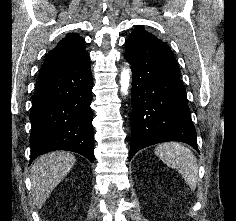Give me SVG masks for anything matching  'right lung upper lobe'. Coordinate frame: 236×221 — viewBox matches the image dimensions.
I'll return each instance as SVG.
<instances>
[{
  "instance_id": "right-lung-upper-lobe-1",
  "label": "right lung upper lobe",
  "mask_w": 236,
  "mask_h": 221,
  "mask_svg": "<svg viewBox=\"0 0 236 221\" xmlns=\"http://www.w3.org/2000/svg\"><path fill=\"white\" fill-rule=\"evenodd\" d=\"M84 39L71 33L62 39L45 58L40 73L79 64L89 58L84 49Z\"/></svg>"
}]
</instances>
